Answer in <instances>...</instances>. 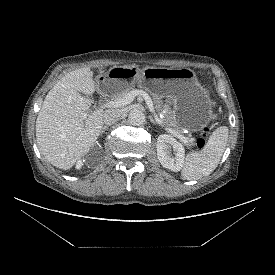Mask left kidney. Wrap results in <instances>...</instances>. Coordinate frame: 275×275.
<instances>
[{"label":"left kidney","instance_id":"1","mask_svg":"<svg viewBox=\"0 0 275 275\" xmlns=\"http://www.w3.org/2000/svg\"><path fill=\"white\" fill-rule=\"evenodd\" d=\"M157 157L164 168L178 172L184 164L185 149L181 143L168 134L159 135L157 138ZM173 148L174 156L171 154Z\"/></svg>","mask_w":275,"mask_h":275}]
</instances>
